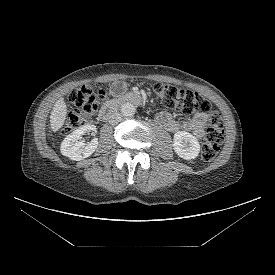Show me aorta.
Instances as JSON below:
<instances>
[{
    "label": "aorta",
    "mask_w": 275,
    "mask_h": 275,
    "mask_svg": "<svg viewBox=\"0 0 275 275\" xmlns=\"http://www.w3.org/2000/svg\"><path fill=\"white\" fill-rule=\"evenodd\" d=\"M121 113L125 117H133L136 113V108L131 103H124L121 106Z\"/></svg>",
    "instance_id": "1"
}]
</instances>
